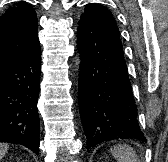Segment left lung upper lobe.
<instances>
[{
  "instance_id": "1",
  "label": "left lung upper lobe",
  "mask_w": 168,
  "mask_h": 162,
  "mask_svg": "<svg viewBox=\"0 0 168 162\" xmlns=\"http://www.w3.org/2000/svg\"><path fill=\"white\" fill-rule=\"evenodd\" d=\"M84 10L85 12L81 15V17L92 18L119 35L116 21L112 17V13L107 8L99 4L89 3L85 6Z\"/></svg>"
}]
</instances>
